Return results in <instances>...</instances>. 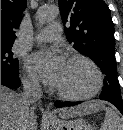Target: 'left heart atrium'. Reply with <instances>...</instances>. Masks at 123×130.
Listing matches in <instances>:
<instances>
[{
    "instance_id": "39dd6f15",
    "label": "left heart atrium",
    "mask_w": 123,
    "mask_h": 130,
    "mask_svg": "<svg viewBox=\"0 0 123 130\" xmlns=\"http://www.w3.org/2000/svg\"><path fill=\"white\" fill-rule=\"evenodd\" d=\"M28 62L32 71L39 78L55 85L66 60L59 51L52 49L34 53L29 57Z\"/></svg>"
}]
</instances>
